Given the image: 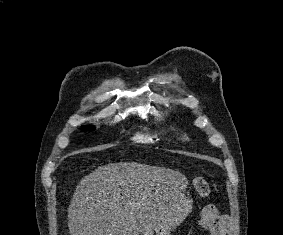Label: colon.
Segmentation results:
<instances>
[{"mask_svg":"<svg viewBox=\"0 0 283 235\" xmlns=\"http://www.w3.org/2000/svg\"><path fill=\"white\" fill-rule=\"evenodd\" d=\"M192 184L196 192L201 197H208L211 193V188L205 177L196 175L192 179Z\"/></svg>","mask_w":283,"mask_h":235,"instance_id":"colon-1","label":"colon"}]
</instances>
